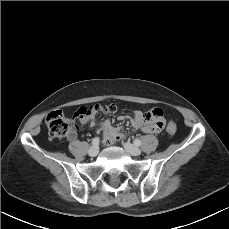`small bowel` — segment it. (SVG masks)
I'll use <instances>...</instances> for the list:
<instances>
[{"instance_id":"1","label":"small bowel","mask_w":229,"mask_h":229,"mask_svg":"<svg viewBox=\"0 0 229 229\" xmlns=\"http://www.w3.org/2000/svg\"><path fill=\"white\" fill-rule=\"evenodd\" d=\"M74 118L78 119L82 124L88 125L90 127H95L99 125L103 132V139L108 144L124 140V134L122 133L121 127L113 125L111 121L108 119L102 122H98L93 114L81 116L78 114V112L74 114ZM118 120H128L133 126V128L140 129L146 133L152 132V130L149 127L145 126L144 112H142L141 110H135L131 117L126 115H119ZM74 136L75 132H72L69 135L70 138H73Z\"/></svg>"}]
</instances>
